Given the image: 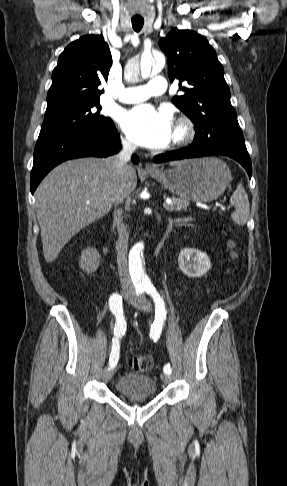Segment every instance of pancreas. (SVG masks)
Returning <instances> with one entry per match:
<instances>
[{
  "instance_id": "obj_1",
  "label": "pancreas",
  "mask_w": 287,
  "mask_h": 486,
  "mask_svg": "<svg viewBox=\"0 0 287 486\" xmlns=\"http://www.w3.org/2000/svg\"><path fill=\"white\" fill-rule=\"evenodd\" d=\"M172 202L173 204L166 208L168 211H182L187 209L190 204L188 200L176 197L172 198Z\"/></svg>"
}]
</instances>
